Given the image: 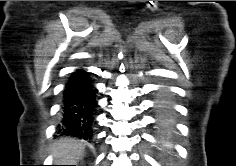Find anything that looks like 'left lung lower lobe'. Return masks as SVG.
Wrapping results in <instances>:
<instances>
[{"label":"left lung lower lobe","mask_w":236,"mask_h":166,"mask_svg":"<svg viewBox=\"0 0 236 166\" xmlns=\"http://www.w3.org/2000/svg\"><path fill=\"white\" fill-rule=\"evenodd\" d=\"M172 104L164 93L157 103L158 127L163 135H167L172 129Z\"/></svg>","instance_id":"left-lung-lower-lobe-1"}]
</instances>
